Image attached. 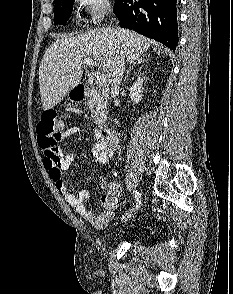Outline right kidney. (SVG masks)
Returning a JSON list of instances; mask_svg holds the SVG:
<instances>
[{
	"label": "right kidney",
	"mask_w": 233,
	"mask_h": 294,
	"mask_svg": "<svg viewBox=\"0 0 233 294\" xmlns=\"http://www.w3.org/2000/svg\"><path fill=\"white\" fill-rule=\"evenodd\" d=\"M145 79V77H139L130 88V98L136 104H138L142 100V93L144 90L142 85Z\"/></svg>",
	"instance_id": "ca27d5eb"
}]
</instances>
